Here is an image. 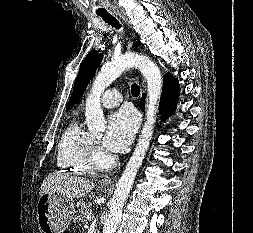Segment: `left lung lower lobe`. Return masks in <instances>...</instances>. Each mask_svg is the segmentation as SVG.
I'll return each instance as SVG.
<instances>
[{"mask_svg": "<svg viewBox=\"0 0 253 233\" xmlns=\"http://www.w3.org/2000/svg\"><path fill=\"white\" fill-rule=\"evenodd\" d=\"M180 88L178 86V82L176 79L170 74H166L163 79V90L160 102V112L162 114L163 119L165 116L170 115L176 107V103L178 100ZM145 94L140 102V108L144 110V99Z\"/></svg>", "mask_w": 253, "mask_h": 233, "instance_id": "0a47b994", "label": "left lung lower lobe"}]
</instances>
